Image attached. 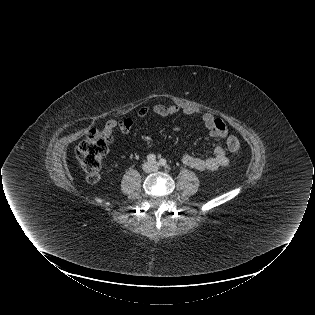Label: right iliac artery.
<instances>
[{"label": "right iliac artery", "mask_w": 315, "mask_h": 315, "mask_svg": "<svg viewBox=\"0 0 315 315\" xmlns=\"http://www.w3.org/2000/svg\"><path fill=\"white\" fill-rule=\"evenodd\" d=\"M147 160H148L149 162H154V161L156 160V156H155L154 154H149V155L147 156Z\"/></svg>", "instance_id": "1"}]
</instances>
